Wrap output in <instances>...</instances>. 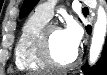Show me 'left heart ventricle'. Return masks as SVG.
Segmentation results:
<instances>
[{
    "instance_id": "1",
    "label": "left heart ventricle",
    "mask_w": 107,
    "mask_h": 75,
    "mask_svg": "<svg viewBox=\"0 0 107 75\" xmlns=\"http://www.w3.org/2000/svg\"><path fill=\"white\" fill-rule=\"evenodd\" d=\"M50 45L53 56L59 63L70 62L76 54V51L71 49L66 43L60 29H53L51 31Z\"/></svg>"
}]
</instances>
